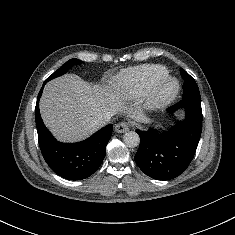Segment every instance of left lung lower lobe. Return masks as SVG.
Returning a JSON list of instances; mask_svg holds the SVG:
<instances>
[{
	"label": "left lung lower lobe",
	"instance_id": "1",
	"mask_svg": "<svg viewBox=\"0 0 235 235\" xmlns=\"http://www.w3.org/2000/svg\"><path fill=\"white\" fill-rule=\"evenodd\" d=\"M192 93L191 83L184 80L182 100L167 111L173 113L184 108L186 116L169 131L136 130L140 135V146L134 160L151 178H175L185 171L194 157L202 132V109L201 97Z\"/></svg>",
	"mask_w": 235,
	"mask_h": 235
}]
</instances>
